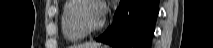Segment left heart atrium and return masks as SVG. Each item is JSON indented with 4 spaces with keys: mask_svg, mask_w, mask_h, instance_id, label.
<instances>
[{
    "mask_svg": "<svg viewBox=\"0 0 213 48\" xmlns=\"http://www.w3.org/2000/svg\"><path fill=\"white\" fill-rule=\"evenodd\" d=\"M99 9H100V14H101V16H103V14L105 13V10H106L105 4H104L103 2H101V3L99 4Z\"/></svg>",
    "mask_w": 213,
    "mask_h": 48,
    "instance_id": "39dd6f15",
    "label": "left heart atrium"
}]
</instances>
